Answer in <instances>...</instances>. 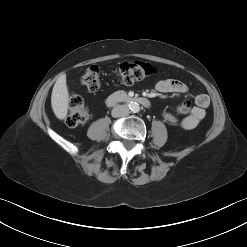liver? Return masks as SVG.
<instances>
[{
    "instance_id": "6515ba94",
    "label": "liver",
    "mask_w": 247,
    "mask_h": 247,
    "mask_svg": "<svg viewBox=\"0 0 247 247\" xmlns=\"http://www.w3.org/2000/svg\"><path fill=\"white\" fill-rule=\"evenodd\" d=\"M51 105L58 119L63 120L66 118L69 106V92L65 74L61 75L53 86Z\"/></svg>"
}]
</instances>
